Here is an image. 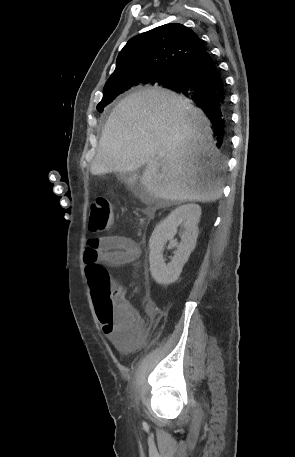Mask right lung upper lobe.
<instances>
[{"mask_svg": "<svg viewBox=\"0 0 295 457\" xmlns=\"http://www.w3.org/2000/svg\"><path fill=\"white\" fill-rule=\"evenodd\" d=\"M205 50L196 33L182 24L156 27L127 42L104 89L126 83L131 84L128 89L143 84L160 85L164 79L175 77L188 61Z\"/></svg>", "mask_w": 295, "mask_h": 457, "instance_id": "cb5924a9", "label": "right lung upper lobe"}]
</instances>
